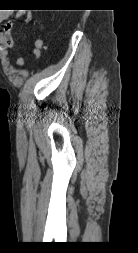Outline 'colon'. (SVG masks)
Returning a JSON list of instances; mask_svg holds the SVG:
<instances>
[{
    "label": "colon",
    "instance_id": "5ec220e1",
    "mask_svg": "<svg viewBox=\"0 0 138 253\" xmlns=\"http://www.w3.org/2000/svg\"><path fill=\"white\" fill-rule=\"evenodd\" d=\"M44 48L45 44L43 39L41 38L36 39L33 47V54L38 58L41 55Z\"/></svg>",
    "mask_w": 138,
    "mask_h": 253
}]
</instances>
